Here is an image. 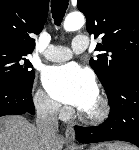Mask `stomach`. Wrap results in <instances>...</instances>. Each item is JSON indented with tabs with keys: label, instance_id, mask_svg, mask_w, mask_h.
Returning <instances> with one entry per match:
<instances>
[{
	"label": "stomach",
	"instance_id": "obj_1",
	"mask_svg": "<svg viewBox=\"0 0 139 150\" xmlns=\"http://www.w3.org/2000/svg\"><path fill=\"white\" fill-rule=\"evenodd\" d=\"M88 150H115V147L111 144L104 143V144L93 146L92 148Z\"/></svg>",
	"mask_w": 139,
	"mask_h": 150
}]
</instances>
